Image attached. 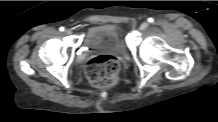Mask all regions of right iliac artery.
<instances>
[{
    "label": "right iliac artery",
    "instance_id": "right-iliac-artery-1",
    "mask_svg": "<svg viewBox=\"0 0 218 122\" xmlns=\"http://www.w3.org/2000/svg\"><path fill=\"white\" fill-rule=\"evenodd\" d=\"M59 30H60L61 32H63V31L65 30V28H64V27H60Z\"/></svg>",
    "mask_w": 218,
    "mask_h": 122
}]
</instances>
